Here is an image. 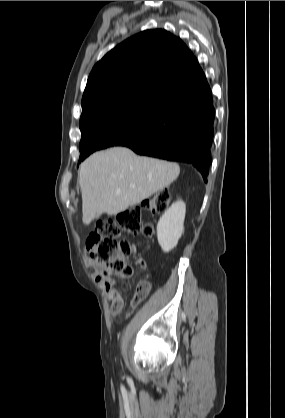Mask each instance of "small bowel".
<instances>
[{
	"label": "small bowel",
	"instance_id": "1",
	"mask_svg": "<svg viewBox=\"0 0 285 418\" xmlns=\"http://www.w3.org/2000/svg\"><path fill=\"white\" fill-rule=\"evenodd\" d=\"M136 265L139 268L144 269L143 282H147L149 285H151L152 280H153V275L147 269L146 261L142 258H139L136 260ZM89 268L93 271L94 274L97 275L101 269V265L99 263H90ZM105 294H106V297L111 301V308H110L111 316H117L123 311V308H124V298L122 294L118 290H116L113 286L105 288ZM139 303L140 302L133 299L132 307H135Z\"/></svg>",
	"mask_w": 285,
	"mask_h": 418
}]
</instances>
